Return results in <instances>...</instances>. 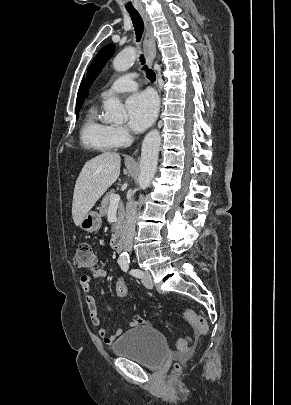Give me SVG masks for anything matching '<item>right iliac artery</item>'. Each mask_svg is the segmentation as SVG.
I'll list each match as a JSON object with an SVG mask.
<instances>
[{
    "instance_id": "obj_1",
    "label": "right iliac artery",
    "mask_w": 291,
    "mask_h": 405,
    "mask_svg": "<svg viewBox=\"0 0 291 405\" xmlns=\"http://www.w3.org/2000/svg\"><path fill=\"white\" fill-rule=\"evenodd\" d=\"M122 262H124V261H119V263H122Z\"/></svg>"
}]
</instances>
